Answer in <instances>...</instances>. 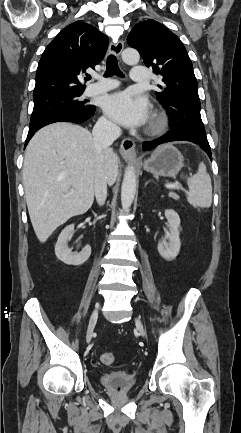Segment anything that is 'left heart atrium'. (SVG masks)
<instances>
[{"instance_id":"left-heart-atrium-1","label":"left heart atrium","mask_w":241,"mask_h":433,"mask_svg":"<svg viewBox=\"0 0 241 433\" xmlns=\"http://www.w3.org/2000/svg\"><path fill=\"white\" fill-rule=\"evenodd\" d=\"M103 110L113 121L125 127L141 126L149 116L146 100L125 91L106 96Z\"/></svg>"}]
</instances>
